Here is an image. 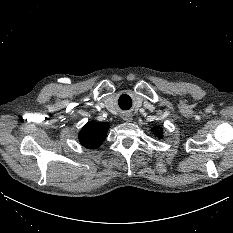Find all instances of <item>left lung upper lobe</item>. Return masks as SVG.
I'll return each mask as SVG.
<instances>
[{
  "label": "left lung upper lobe",
  "instance_id": "5c2ea615",
  "mask_svg": "<svg viewBox=\"0 0 233 233\" xmlns=\"http://www.w3.org/2000/svg\"><path fill=\"white\" fill-rule=\"evenodd\" d=\"M153 131H154V132H155V131H158V128H155ZM157 135H158V136H161V132L158 131Z\"/></svg>",
  "mask_w": 233,
  "mask_h": 233
}]
</instances>
